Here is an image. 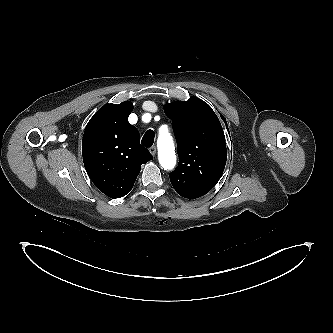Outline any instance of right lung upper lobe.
Listing matches in <instances>:
<instances>
[{"instance_id":"cb5924a9","label":"right lung upper lobe","mask_w":333,"mask_h":333,"mask_svg":"<svg viewBox=\"0 0 333 333\" xmlns=\"http://www.w3.org/2000/svg\"><path fill=\"white\" fill-rule=\"evenodd\" d=\"M132 102L106 104L88 122L82 140L85 169L95 186L111 198L125 196L140 166L152 160L140 145L138 130L128 122Z\"/></svg>"}]
</instances>
